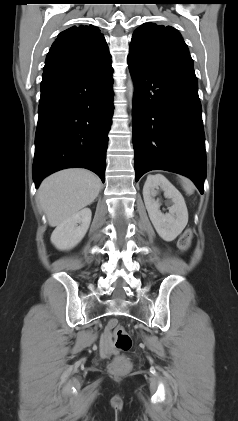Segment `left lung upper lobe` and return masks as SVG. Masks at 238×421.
<instances>
[{"instance_id": "1", "label": "left lung upper lobe", "mask_w": 238, "mask_h": 421, "mask_svg": "<svg viewBox=\"0 0 238 421\" xmlns=\"http://www.w3.org/2000/svg\"><path fill=\"white\" fill-rule=\"evenodd\" d=\"M128 56L152 68L193 65L181 34L171 26L155 23H145L135 30Z\"/></svg>"}]
</instances>
